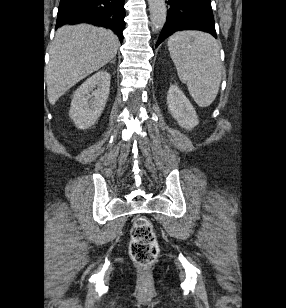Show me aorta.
<instances>
[{
  "instance_id": "aorta-1",
  "label": "aorta",
  "mask_w": 286,
  "mask_h": 308,
  "mask_svg": "<svg viewBox=\"0 0 286 308\" xmlns=\"http://www.w3.org/2000/svg\"><path fill=\"white\" fill-rule=\"evenodd\" d=\"M153 31H160L166 22L167 8L165 0H148Z\"/></svg>"
}]
</instances>
